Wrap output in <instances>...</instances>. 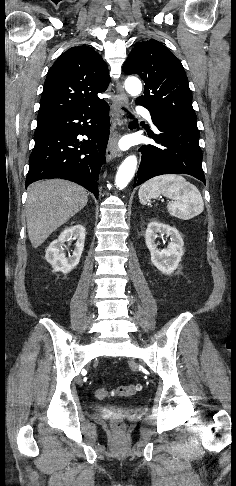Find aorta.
<instances>
[{
    "label": "aorta",
    "instance_id": "1",
    "mask_svg": "<svg viewBox=\"0 0 236 486\" xmlns=\"http://www.w3.org/2000/svg\"><path fill=\"white\" fill-rule=\"evenodd\" d=\"M126 91L133 96L139 95L142 91V84L140 80L136 77H129L125 81ZM137 167V158L135 155H130L122 162L120 165L116 178V187L123 189L133 178Z\"/></svg>",
    "mask_w": 236,
    "mask_h": 486
}]
</instances>
